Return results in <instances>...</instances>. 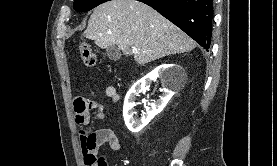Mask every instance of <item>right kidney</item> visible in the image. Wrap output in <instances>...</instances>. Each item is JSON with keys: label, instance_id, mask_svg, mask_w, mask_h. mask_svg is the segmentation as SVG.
Returning a JSON list of instances; mask_svg holds the SVG:
<instances>
[{"label": "right kidney", "instance_id": "right-kidney-1", "mask_svg": "<svg viewBox=\"0 0 277 166\" xmlns=\"http://www.w3.org/2000/svg\"><path fill=\"white\" fill-rule=\"evenodd\" d=\"M176 71L173 65H162L154 69L152 72L144 76L142 79L137 81L126 94L123 106V117L127 128L131 132L141 131L149 122L150 119L160 113L167 105L173 92L168 89L169 86L176 79ZM161 78L163 80L164 93L160 98L151 104V109L147 112L146 116L141 119L134 118V107L137 105L136 98L139 93L149 89L151 81Z\"/></svg>", "mask_w": 277, "mask_h": 166}]
</instances>
